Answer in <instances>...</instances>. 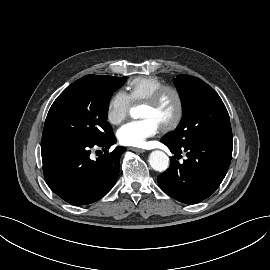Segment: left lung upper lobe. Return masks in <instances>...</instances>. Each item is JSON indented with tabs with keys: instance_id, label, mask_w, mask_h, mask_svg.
Returning a JSON list of instances; mask_svg holds the SVG:
<instances>
[{
	"instance_id": "5c2ea615",
	"label": "left lung upper lobe",
	"mask_w": 270,
	"mask_h": 270,
	"mask_svg": "<svg viewBox=\"0 0 270 270\" xmlns=\"http://www.w3.org/2000/svg\"><path fill=\"white\" fill-rule=\"evenodd\" d=\"M174 84L182 101L183 117L176 131L163 139L177 146L200 138L233 140L227 109L208 84L189 75H178Z\"/></svg>"
}]
</instances>
